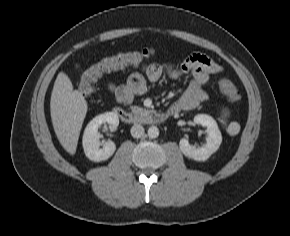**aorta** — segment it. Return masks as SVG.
<instances>
[{
	"mask_svg": "<svg viewBox=\"0 0 290 236\" xmlns=\"http://www.w3.org/2000/svg\"><path fill=\"white\" fill-rule=\"evenodd\" d=\"M148 136L151 139L157 138L159 136V129L156 126H151L148 129Z\"/></svg>",
	"mask_w": 290,
	"mask_h": 236,
	"instance_id": "obj_1",
	"label": "aorta"
}]
</instances>
